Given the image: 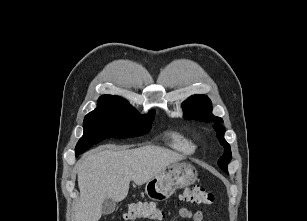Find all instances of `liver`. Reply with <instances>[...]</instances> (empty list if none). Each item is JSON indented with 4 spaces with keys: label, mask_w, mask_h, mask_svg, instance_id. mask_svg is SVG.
Instances as JSON below:
<instances>
[{
    "label": "liver",
    "mask_w": 307,
    "mask_h": 221,
    "mask_svg": "<svg viewBox=\"0 0 307 221\" xmlns=\"http://www.w3.org/2000/svg\"><path fill=\"white\" fill-rule=\"evenodd\" d=\"M183 159L181 154L158 146L118 150L99 147L87 152L77 164L80 197L75 221H98L106 198L124 200L131 180L136 185L147 183Z\"/></svg>",
    "instance_id": "1"
}]
</instances>
